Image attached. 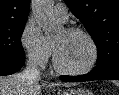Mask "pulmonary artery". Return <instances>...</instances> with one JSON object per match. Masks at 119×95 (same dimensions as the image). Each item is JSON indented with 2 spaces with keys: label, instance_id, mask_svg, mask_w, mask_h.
Here are the masks:
<instances>
[{
  "label": "pulmonary artery",
  "instance_id": "obj_1",
  "mask_svg": "<svg viewBox=\"0 0 119 95\" xmlns=\"http://www.w3.org/2000/svg\"><path fill=\"white\" fill-rule=\"evenodd\" d=\"M54 16L60 21H66L68 19V9L62 3H57L53 9Z\"/></svg>",
  "mask_w": 119,
  "mask_h": 95
}]
</instances>
